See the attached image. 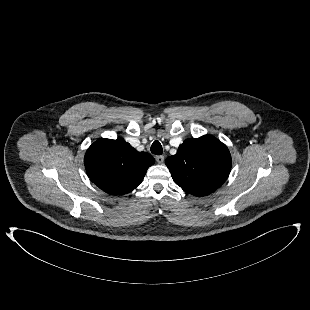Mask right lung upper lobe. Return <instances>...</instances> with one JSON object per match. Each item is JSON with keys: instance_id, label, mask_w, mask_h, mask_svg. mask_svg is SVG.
<instances>
[{"instance_id": "right-lung-upper-lobe-1", "label": "right lung upper lobe", "mask_w": 310, "mask_h": 310, "mask_svg": "<svg viewBox=\"0 0 310 310\" xmlns=\"http://www.w3.org/2000/svg\"><path fill=\"white\" fill-rule=\"evenodd\" d=\"M154 162L150 154L138 152L122 138L99 139L84 157L91 181L111 195H123L135 189Z\"/></svg>"}]
</instances>
